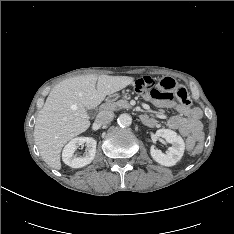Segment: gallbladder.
<instances>
[{"instance_id": "obj_1", "label": "gallbladder", "mask_w": 234, "mask_h": 234, "mask_svg": "<svg viewBox=\"0 0 234 234\" xmlns=\"http://www.w3.org/2000/svg\"><path fill=\"white\" fill-rule=\"evenodd\" d=\"M88 114H89V115L94 114V110H89V111H88Z\"/></svg>"}]
</instances>
